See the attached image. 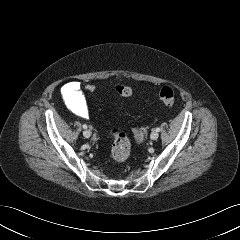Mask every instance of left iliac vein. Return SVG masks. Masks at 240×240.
<instances>
[{
	"mask_svg": "<svg viewBox=\"0 0 240 240\" xmlns=\"http://www.w3.org/2000/svg\"><path fill=\"white\" fill-rule=\"evenodd\" d=\"M158 137H159V134H158L157 131H153V132L150 134V138H151L152 140H157Z\"/></svg>",
	"mask_w": 240,
	"mask_h": 240,
	"instance_id": "4c4485c4",
	"label": "left iliac vein"
}]
</instances>
